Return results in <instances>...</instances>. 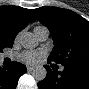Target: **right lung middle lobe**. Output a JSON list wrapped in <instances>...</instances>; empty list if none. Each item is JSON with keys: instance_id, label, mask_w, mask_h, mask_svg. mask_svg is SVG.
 Returning a JSON list of instances; mask_svg holds the SVG:
<instances>
[{"instance_id": "dd1d6c3e", "label": "right lung middle lobe", "mask_w": 89, "mask_h": 89, "mask_svg": "<svg viewBox=\"0 0 89 89\" xmlns=\"http://www.w3.org/2000/svg\"><path fill=\"white\" fill-rule=\"evenodd\" d=\"M3 48H5V46L0 44V52L3 50Z\"/></svg>"}]
</instances>
